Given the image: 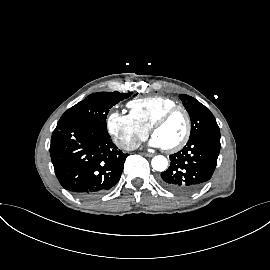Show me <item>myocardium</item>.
<instances>
[{"instance_id": "1", "label": "myocardium", "mask_w": 270, "mask_h": 270, "mask_svg": "<svg viewBox=\"0 0 270 270\" xmlns=\"http://www.w3.org/2000/svg\"><path fill=\"white\" fill-rule=\"evenodd\" d=\"M178 111L183 112V114L186 117V130H185L183 137L181 138V140L178 143H176L175 145H173L171 147L163 148L168 153H174V152L179 151L188 142V140L191 136V132H192V119H191L189 111L181 105L173 106V107L167 109L166 111H164L155 120V122L152 124V126L150 128L151 134L154 135L155 131L158 128H160L163 124H165L169 120V118Z\"/></svg>"}]
</instances>
